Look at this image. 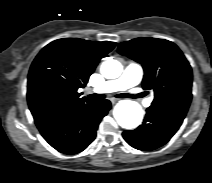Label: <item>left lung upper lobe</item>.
I'll list each match as a JSON object with an SVG mask.
<instances>
[{
    "label": "left lung upper lobe",
    "instance_id": "obj_1",
    "mask_svg": "<svg viewBox=\"0 0 212 183\" xmlns=\"http://www.w3.org/2000/svg\"><path fill=\"white\" fill-rule=\"evenodd\" d=\"M118 52L143 66L142 86L153 90L152 106L187 112L192 98V69L173 42L136 38L120 43Z\"/></svg>",
    "mask_w": 212,
    "mask_h": 183
}]
</instances>
